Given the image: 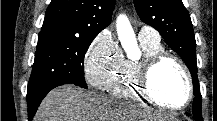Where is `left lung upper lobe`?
I'll list each match as a JSON object with an SVG mask.
<instances>
[{
  "instance_id": "1",
  "label": "left lung upper lobe",
  "mask_w": 217,
  "mask_h": 121,
  "mask_svg": "<svg viewBox=\"0 0 217 121\" xmlns=\"http://www.w3.org/2000/svg\"><path fill=\"white\" fill-rule=\"evenodd\" d=\"M140 19L154 27L185 62L192 75L193 116L202 121V98L197 78L196 42L192 22L181 0H133Z\"/></svg>"
}]
</instances>
